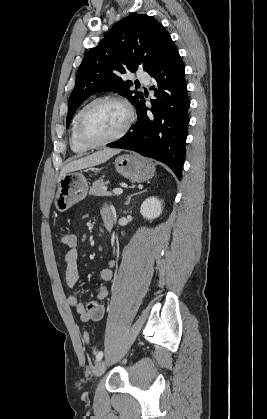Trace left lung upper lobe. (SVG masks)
Wrapping results in <instances>:
<instances>
[{"label":"left lung upper lobe","mask_w":267,"mask_h":419,"mask_svg":"<svg viewBox=\"0 0 267 419\" xmlns=\"http://www.w3.org/2000/svg\"><path fill=\"white\" fill-rule=\"evenodd\" d=\"M170 40L163 25L146 14H132L117 22L83 58L70 95L66 127L77 108L97 92H116L136 106L143 93L130 90L133 83L122 80L121 75L138 67L149 72Z\"/></svg>","instance_id":"left-lung-upper-lobe-1"}]
</instances>
